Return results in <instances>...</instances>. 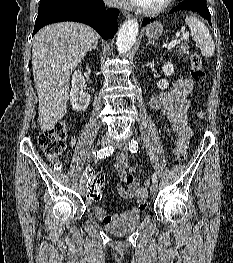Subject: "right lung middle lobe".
Here are the masks:
<instances>
[{
    "instance_id": "dd1d6c3e",
    "label": "right lung middle lobe",
    "mask_w": 233,
    "mask_h": 263,
    "mask_svg": "<svg viewBox=\"0 0 233 263\" xmlns=\"http://www.w3.org/2000/svg\"><path fill=\"white\" fill-rule=\"evenodd\" d=\"M78 1L79 0H41L37 17L56 10H73L78 4Z\"/></svg>"
}]
</instances>
